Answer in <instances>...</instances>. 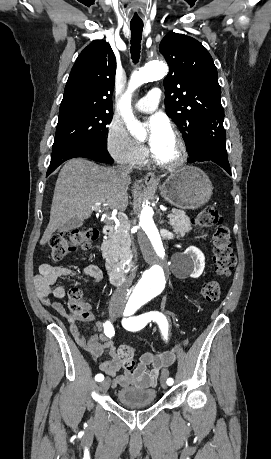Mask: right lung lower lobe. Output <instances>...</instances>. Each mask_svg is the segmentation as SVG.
<instances>
[{
  "instance_id": "right-lung-lower-lobe-1",
  "label": "right lung lower lobe",
  "mask_w": 271,
  "mask_h": 459,
  "mask_svg": "<svg viewBox=\"0 0 271 459\" xmlns=\"http://www.w3.org/2000/svg\"><path fill=\"white\" fill-rule=\"evenodd\" d=\"M83 157L103 163H113L106 150V145L91 142H72L53 149L47 175L51 174L64 161Z\"/></svg>"
}]
</instances>
